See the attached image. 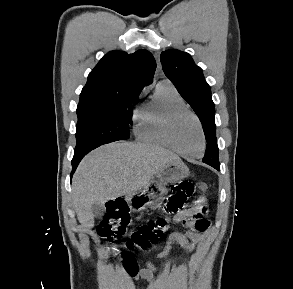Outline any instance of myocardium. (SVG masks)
<instances>
[{
  "instance_id": "f54148a6",
  "label": "myocardium",
  "mask_w": 293,
  "mask_h": 289,
  "mask_svg": "<svg viewBox=\"0 0 293 289\" xmlns=\"http://www.w3.org/2000/svg\"><path fill=\"white\" fill-rule=\"evenodd\" d=\"M183 114L190 115L195 120V122L197 123V126L199 128L201 140H202V146H201V150H200L199 154H197V155H189V154L184 153L182 150H180L178 148V146L176 145V142L174 140V136H173L174 123H175L176 119ZM165 136H166V140H167L170 148L174 152H176L177 154H179L180 156H182L186 159H198V158L202 157L205 153L207 142H206V136H205L203 125H202L199 117L192 110L187 108L186 106L176 107L168 113L166 121H165Z\"/></svg>"
}]
</instances>
